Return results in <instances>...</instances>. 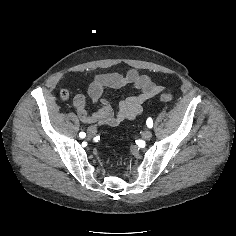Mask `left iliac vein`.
Wrapping results in <instances>:
<instances>
[{"label": "left iliac vein", "instance_id": "1", "mask_svg": "<svg viewBox=\"0 0 236 236\" xmlns=\"http://www.w3.org/2000/svg\"><path fill=\"white\" fill-rule=\"evenodd\" d=\"M142 138H143L144 140H150V139L152 138V132L149 131V130H144V131L142 132Z\"/></svg>", "mask_w": 236, "mask_h": 236}]
</instances>
